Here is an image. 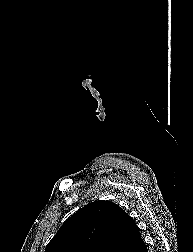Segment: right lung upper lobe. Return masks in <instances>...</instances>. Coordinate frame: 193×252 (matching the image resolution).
Segmentation results:
<instances>
[{"mask_svg":"<svg viewBox=\"0 0 193 252\" xmlns=\"http://www.w3.org/2000/svg\"><path fill=\"white\" fill-rule=\"evenodd\" d=\"M141 241L133 219L117 204L101 200L68 218L45 252H132Z\"/></svg>","mask_w":193,"mask_h":252,"instance_id":"obj_1","label":"right lung upper lobe"}]
</instances>
